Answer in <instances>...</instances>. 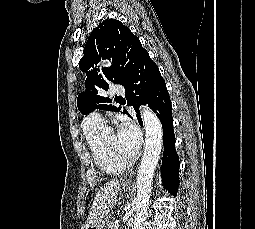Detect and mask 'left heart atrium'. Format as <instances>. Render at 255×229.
I'll return each instance as SVG.
<instances>
[{"label": "left heart atrium", "instance_id": "obj_1", "mask_svg": "<svg viewBox=\"0 0 255 229\" xmlns=\"http://www.w3.org/2000/svg\"><path fill=\"white\" fill-rule=\"evenodd\" d=\"M117 139L120 146L130 155H135L141 143L138 128L128 120H121L118 125Z\"/></svg>", "mask_w": 255, "mask_h": 229}]
</instances>
